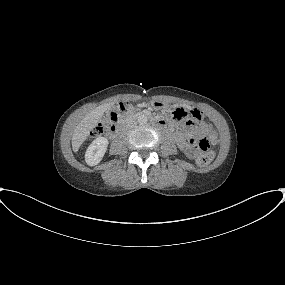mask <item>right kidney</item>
I'll return each mask as SVG.
<instances>
[{"label":"right kidney","mask_w":285,"mask_h":285,"mask_svg":"<svg viewBox=\"0 0 285 285\" xmlns=\"http://www.w3.org/2000/svg\"><path fill=\"white\" fill-rule=\"evenodd\" d=\"M108 140L104 137L96 138L88 147L85 153V161L88 165H97L103 158L107 147Z\"/></svg>","instance_id":"obj_1"}]
</instances>
